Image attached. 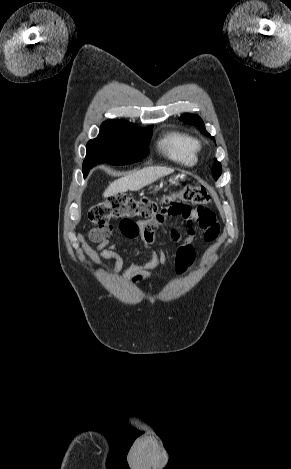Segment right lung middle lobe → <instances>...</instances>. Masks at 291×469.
Masks as SVG:
<instances>
[{
  "mask_svg": "<svg viewBox=\"0 0 291 469\" xmlns=\"http://www.w3.org/2000/svg\"><path fill=\"white\" fill-rule=\"evenodd\" d=\"M152 127L141 128L125 121H105L97 138L87 143L83 175L97 164L125 165L142 160L148 154Z\"/></svg>",
  "mask_w": 291,
  "mask_h": 469,
  "instance_id": "dd1d6c3e",
  "label": "right lung middle lobe"
}]
</instances>
